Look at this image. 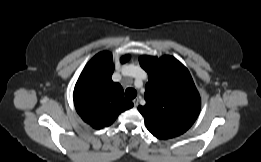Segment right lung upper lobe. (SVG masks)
Segmentation results:
<instances>
[{
    "instance_id": "1",
    "label": "right lung upper lobe",
    "mask_w": 261,
    "mask_h": 162,
    "mask_svg": "<svg viewBox=\"0 0 261 162\" xmlns=\"http://www.w3.org/2000/svg\"><path fill=\"white\" fill-rule=\"evenodd\" d=\"M130 58L125 55L121 62ZM112 54L103 51L94 56L81 73L74 89V105L80 117L95 129L111 125L118 115L133 107L123 96V88L114 83Z\"/></svg>"
}]
</instances>
